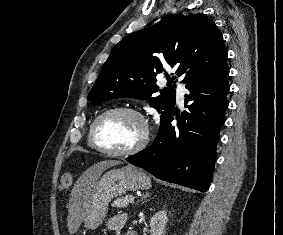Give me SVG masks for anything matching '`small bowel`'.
<instances>
[{
	"label": "small bowel",
	"mask_w": 283,
	"mask_h": 235,
	"mask_svg": "<svg viewBox=\"0 0 283 235\" xmlns=\"http://www.w3.org/2000/svg\"><path fill=\"white\" fill-rule=\"evenodd\" d=\"M126 215L118 214L108 221V228L114 235H120V232L126 223Z\"/></svg>",
	"instance_id": "obj_1"
}]
</instances>
